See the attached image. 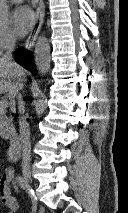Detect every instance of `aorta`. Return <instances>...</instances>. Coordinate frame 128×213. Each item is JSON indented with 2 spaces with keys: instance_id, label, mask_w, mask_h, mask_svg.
Wrapping results in <instances>:
<instances>
[{
  "instance_id": "obj_1",
  "label": "aorta",
  "mask_w": 128,
  "mask_h": 213,
  "mask_svg": "<svg viewBox=\"0 0 128 213\" xmlns=\"http://www.w3.org/2000/svg\"><path fill=\"white\" fill-rule=\"evenodd\" d=\"M7 0H0V26L6 25L9 19ZM50 44L45 36H40L35 45V64L38 72L46 74L50 69Z\"/></svg>"
}]
</instances>
